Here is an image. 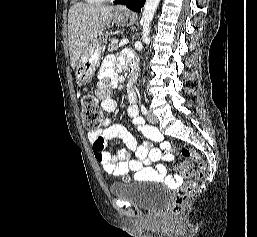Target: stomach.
I'll use <instances>...</instances> for the list:
<instances>
[{"mask_svg":"<svg viewBox=\"0 0 257 237\" xmlns=\"http://www.w3.org/2000/svg\"><path fill=\"white\" fill-rule=\"evenodd\" d=\"M130 19L131 16L129 14L116 12L113 15L112 23L116 26H121L125 25ZM104 41V34L100 33L92 39L81 55L75 73L76 81L79 85H85L91 81L101 59Z\"/></svg>","mask_w":257,"mask_h":237,"instance_id":"0dacf381","label":"stomach"}]
</instances>
